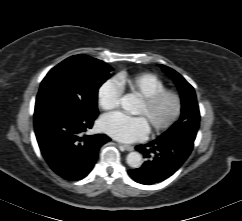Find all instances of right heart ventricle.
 <instances>
[{
	"label": "right heart ventricle",
	"instance_id": "e07e8e85",
	"mask_svg": "<svg viewBox=\"0 0 242 221\" xmlns=\"http://www.w3.org/2000/svg\"><path fill=\"white\" fill-rule=\"evenodd\" d=\"M122 90L137 94L141 97L151 95L165 89L164 82L150 72L126 73L121 72L115 78Z\"/></svg>",
	"mask_w": 242,
	"mask_h": 221
}]
</instances>
